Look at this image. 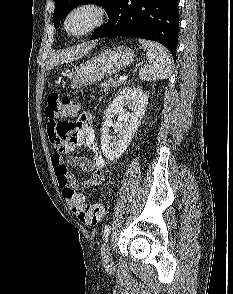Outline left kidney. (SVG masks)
Masks as SVG:
<instances>
[{"label":"left kidney","mask_w":233,"mask_h":294,"mask_svg":"<svg viewBox=\"0 0 233 294\" xmlns=\"http://www.w3.org/2000/svg\"><path fill=\"white\" fill-rule=\"evenodd\" d=\"M148 97L140 88L125 87L122 89L105 112L104 124L101 128V149L104 157L113 161L126 150L144 116ZM127 106L131 112L123 107ZM118 122L113 124L112 118ZM118 133V139L111 141L109 128Z\"/></svg>","instance_id":"5707ae66"}]
</instances>
